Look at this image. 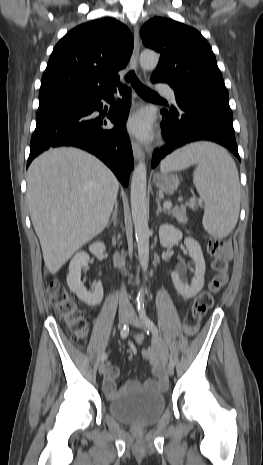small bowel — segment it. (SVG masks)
Listing matches in <instances>:
<instances>
[{"instance_id":"obj_1","label":"small bowel","mask_w":263,"mask_h":465,"mask_svg":"<svg viewBox=\"0 0 263 465\" xmlns=\"http://www.w3.org/2000/svg\"><path fill=\"white\" fill-rule=\"evenodd\" d=\"M203 327L204 322L200 321L197 323L196 329H191L187 327V325H182V330H184V334L201 335L204 332ZM143 340L144 338L141 334H136L134 336V341L137 344L143 343ZM142 356L150 364L155 378L148 379L143 383L132 380L129 381L125 387L118 389L116 386V379L118 378L120 371L116 366H108L105 372L103 388L109 397H116L118 394L124 392L128 388L137 387L141 384L148 389L154 390H162L167 386L168 381L164 368V363L167 358V350L162 340L158 337H155L152 340V346L142 350Z\"/></svg>"}]
</instances>
